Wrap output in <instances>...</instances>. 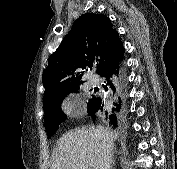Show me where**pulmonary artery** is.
Instances as JSON below:
<instances>
[{
	"instance_id": "pulmonary-artery-1",
	"label": "pulmonary artery",
	"mask_w": 177,
	"mask_h": 169,
	"mask_svg": "<svg viewBox=\"0 0 177 169\" xmlns=\"http://www.w3.org/2000/svg\"><path fill=\"white\" fill-rule=\"evenodd\" d=\"M90 82H91L93 85H97V84H99V78L96 77V76H91V77H90Z\"/></svg>"
}]
</instances>
